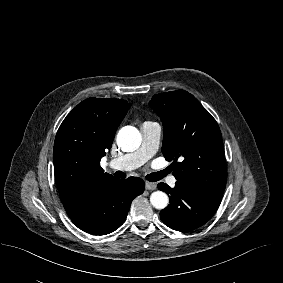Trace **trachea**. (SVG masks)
<instances>
[{"label":"trachea","mask_w":283,"mask_h":283,"mask_svg":"<svg viewBox=\"0 0 283 283\" xmlns=\"http://www.w3.org/2000/svg\"><path fill=\"white\" fill-rule=\"evenodd\" d=\"M166 174H167L166 171L154 172V173L148 174L146 176V179L150 182H156V181L162 179ZM115 176L119 177V178H124V173L117 171L115 173Z\"/></svg>","instance_id":"trachea-1"}]
</instances>
